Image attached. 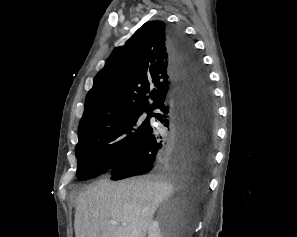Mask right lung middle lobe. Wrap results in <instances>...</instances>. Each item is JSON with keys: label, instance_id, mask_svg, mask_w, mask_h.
<instances>
[{"label": "right lung middle lobe", "instance_id": "right-lung-middle-lobe-1", "mask_svg": "<svg viewBox=\"0 0 297 237\" xmlns=\"http://www.w3.org/2000/svg\"><path fill=\"white\" fill-rule=\"evenodd\" d=\"M147 113L146 119L143 112L108 118L78 134V179L87 180L111 171L121 158L139 145L152 128L150 117L153 113Z\"/></svg>", "mask_w": 297, "mask_h": 237}]
</instances>
